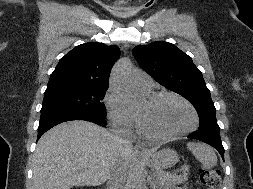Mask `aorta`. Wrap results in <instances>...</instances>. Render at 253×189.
<instances>
[{
	"label": "aorta",
	"mask_w": 253,
	"mask_h": 189,
	"mask_svg": "<svg viewBox=\"0 0 253 189\" xmlns=\"http://www.w3.org/2000/svg\"><path fill=\"white\" fill-rule=\"evenodd\" d=\"M131 74L132 65L129 62L119 63L112 72V85L120 94L125 105L129 108H135L142 102V96L134 88ZM132 189H146L145 181L140 173L135 175Z\"/></svg>",
	"instance_id": "obj_1"
}]
</instances>
